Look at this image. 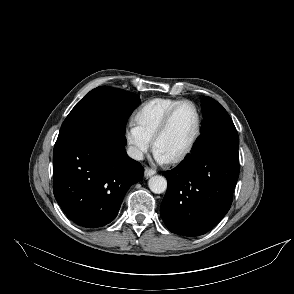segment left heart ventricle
<instances>
[{
    "label": "left heart ventricle",
    "instance_id": "b2bd125f",
    "mask_svg": "<svg viewBox=\"0 0 294 294\" xmlns=\"http://www.w3.org/2000/svg\"><path fill=\"white\" fill-rule=\"evenodd\" d=\"M197 116L194 108L183 105L174 115L169 129L159 140L156 150L168 160L181 153L195 131Z\"/></svg>",
    "mask_w": 294,
    "mask_h": 294
}]
</instances>
